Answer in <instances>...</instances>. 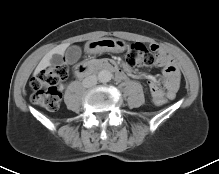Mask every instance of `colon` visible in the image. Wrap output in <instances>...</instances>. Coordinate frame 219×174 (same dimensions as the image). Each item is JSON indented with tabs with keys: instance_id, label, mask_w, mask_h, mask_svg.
Instances as JSON below:
<instances>
[{
	"instance_id": "5ec220e1",
	"label": "colon",
	"mask_w": 219,
	"mask_h": 174,
	"mask_svg": "<svg viewBox=\"0 0 219 174\" xmlns=\"http://www.w3.org/2000/svg\"><path fill=\"white\" fill-rule=\"evenodd\" d=\"M125 61L132 67L149 66L155 62V55L142 43H135L127 50ZM68 74L69 68L65 63L49 66L37 73L30 82L32 102L50 111L57 110L60 101L57 84L65 80ZM153 102L157 106H164L167 100L153 96Z\"/></svg>"
}]
</instances>
